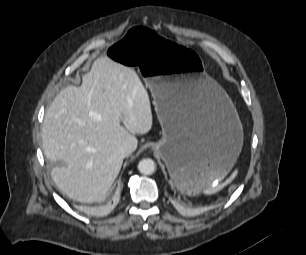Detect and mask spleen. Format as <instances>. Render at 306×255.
Returning a JSON list of instances; mask_svg holds the SVG:
<instances>
[{
	"instance_id": "spleen-1",
	"label": "spleen",
	"mask_w": 306,
	"mask_h": 255,
	"mask_svg": "<svg viewBox=\"0 0 306 255\" xmlns=\"http://www.w3.org/2000/svg\"><path fill=\"white\" fill-rule=\"evenodd\" d=\"M236 174H237V171H234L232 173V175L224 183L218 185L217 187H213V186L207 187L203 190V193L206 194V195L216 193L217 191L222 189L226 184L230 183L232 181V179L235 177Z\"/></svg>"
}]
</instances>
